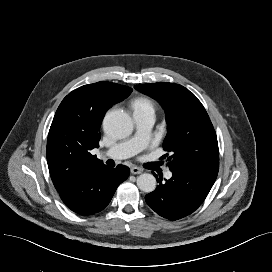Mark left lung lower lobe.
Segmentation results:
<instances>
[{
	"label": "left lung lower lobe",
	"instance_id": "left-lung-lower-lobe-1",
	"mask_svg": "<svg viewBox=\"0 0 272 272\" xmlns=\"http://www.w3.org/2000/svg\"><path fill=\"white\" fill-rule=\"evenodd\" d=\"M173 176L145 196L160 216L175 221L193 213L205 200L218 172L201 169L171 170ZM159 181V180H158Z\"/></svg>",
	"mask_w": 272,
	"mask_h": 272
}]
</instances>
